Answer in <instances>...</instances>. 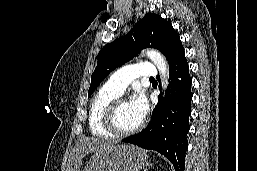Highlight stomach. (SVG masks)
I'll use <instances>...</instances> for the list:
<instances>
[{"label": "stomach", "mask_w": 257, "mask_h": 171, "mask_svg": "<svg viewBox=\"0 0 257 171\" xmlns=\"http://www.w3.org/2000/svg\"><path fill=\"white\" fill-rule=\"evenodd\" d=\"M145 151L126 144H114L94 152L83 171H140L147 164Z\"/></svg>", "instance_id": "0dacf381"}]
</instances>
